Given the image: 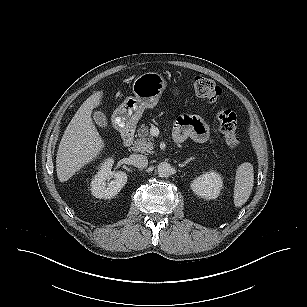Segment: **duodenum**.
Instances as JSON below:
<instances>
[{"label":"duodenum","instance_id":"duodenum-1","mask_svg":"<svg viewBox=\"0 0 307 307\" xmlns=\"http://www.w3.org/2000/svg\"><path fill=\"white\" fill-rule=\"evenodd\" d=\"M123 145L125 147H129L133 144L134 142V137H135V134H134V131L131 130V129H127L123 132Z\"/></svg>","mask_w":307,"mask_h":307}]
</instances>
